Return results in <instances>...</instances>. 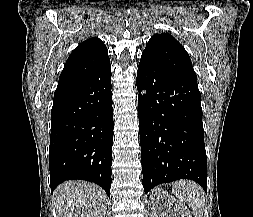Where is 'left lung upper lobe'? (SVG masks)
I'll use <instances>...</instances> for the list:
<instances>
[{"label": "left lung upper lobe", "mask_w": 253, "mask_h": 217, "mask_svg": "<svg viewBox=\"0 0 253 217\" xmlns=\"http://www.w3.org/2000/svg\"><path fill=\"white\" fill-rule=\"evenodd\" d=\"M142 56L170 74L197 85V76L184 47L170 34H155L148 41Z\"/></svg>", "instance_id": "5c2ea615"}]
</instances>
